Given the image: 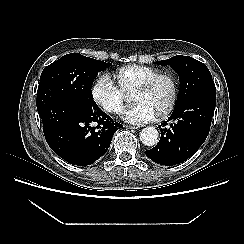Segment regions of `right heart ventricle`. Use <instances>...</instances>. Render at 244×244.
Instances as JSON below:
<instances>
[{"instance_id":"1","label":"right heart ventricle","mask_w":244,"mask_h":244,"mask_svg":"<svg viewBox=\"0 0 244 244\" xmlns=\"http://www.w3.org/2000/svg\"><path fill=\"white\" fill-rule=\"evenodd\" d=\"M160 73V70L150 66L127 65L118 68L113 74L116 87L124 95L134 92L146 80Z\"/></svg>"}]
</instances>
